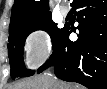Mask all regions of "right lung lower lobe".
Wrapping results in <instances>:
<instances>
[{
	"mask_svg": "<svg viewBox=\"0 0 107 89\" xmlns=\"http://www.w3.org/2000/svg\"><path fill=\"white\" fill-rule=\"evenodd\" d=\"M72 7L79 25L78 40L70 41L73 30L65 25L53 54L37 73L54 65L55 75L89 89L107 86V0H74Z\"/></svg>",
	"mask_w": 107,
	"mask_h": 89,
	"instance_id": "right-lung-lower-lobe-1",
	"label": "right lung lower lobe"
}]
</instances>
